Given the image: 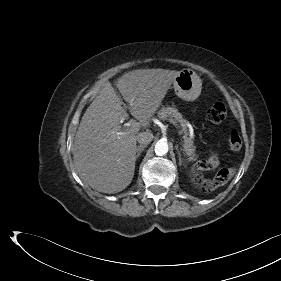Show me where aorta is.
Masks as SVG:
<instances>
[{"mask_svg": "<svg viewBox=\"0 0 281 281\" xmlns=\"http://www.w3.org/2000/svg\"><path fill=\"white\" fill-rule=\"evenodd\" d=\"M168 149H169V148H168V144H167L166 141L159 140V141H157V143L155 144V153H156L157 155L162 156V155L167 154Z\"/></svg>", "mask_w": 281, "mask_h": 281, "instance_id": "aorta-1", "label": "aorta"}]
</instances>
